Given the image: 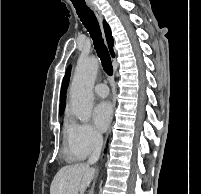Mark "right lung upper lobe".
<instances>
[{
	"mask_svg": "<svg viewBox=\"0 0 201 194\" xmlns=\"http://www.w3.org/2000/svg\"><path fill=\"white\" fill-rule=\"evenodd\" d=\"M103 26L105 30V35L107 38L108 46L110 49V53L112 56H114V51H113V37L111 35V30L109 25L106 23V21H103ZM70 72H71V66L68 67L65 77L63 79L62 83V89H61V94H60V115L63 114L64 109H65V99H66V90L68 87V82H69V77H70Z\"/></svg>",
	"mask_w": 201,
	"mask_h": 194,
	"instance_id": "right-lung-upper-lobe-1",
	"label": "right lung upper lobe"
}]
</instances>
